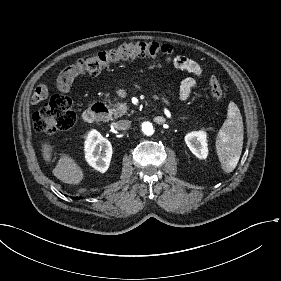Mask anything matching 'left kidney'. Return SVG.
I'll use <instances>...</instances> for the list:
<instances>
[{
    "instance_id": "5707ae66",
    "label": "left kidney",
    "mask_w": 281,
    "mask_h": 281,
    "mask_svg": "<svg viewBox=\"0 0 281 281\" xmlns=\"http://www.w3.org/2000/svg\"><path fill=\"white\" fill-rule=\"evenodd\" d=\"M204 132H192L186 135V144L191 152L198 158L204 159L207 156V147Z\"/></svg>"
}]
</instances>
